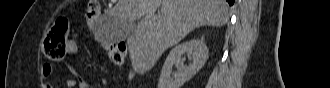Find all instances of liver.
<instances>
[{"mask_svg":"<svg viewBox=\"0 0 330 88\" xmlns=\"http://www.w3.org/2000/svg\"><path fill=\"white\" fill-rule=\"evenodd\" d=\"M161 6V16L155 14ZM112 20L138 21L127 37L132 68L149 71L165 50L201 26L221 27L228 21L225 0H118Z\"/></svg>","mask_w":330,"mask_h":88,"instance_id":"6515ba94","label":"liver"}]
</instances>
